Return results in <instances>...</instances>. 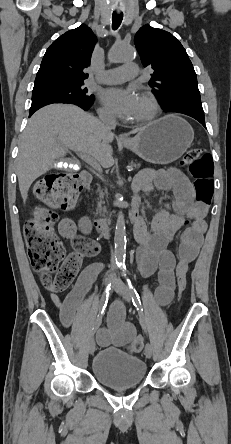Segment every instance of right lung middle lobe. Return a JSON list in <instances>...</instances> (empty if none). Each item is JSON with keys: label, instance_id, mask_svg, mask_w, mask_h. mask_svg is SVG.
Wrapping results in <instances>:
<instances>
[{"label": "right lung middle lobe", "instance_id": "dd1d6c3e", "mask_svg": "<svg viewBox=\"0 0 231 444\" xmlns=\"http://www.w3.org/2000/svg\"><path fill=\"white\" fill-rule=\"evenodd\" d=\"M84 83H53L34 87L32 105L45 102L78 103L89 105L93 103V95L83 87Z\"/></svg>", "mask_w": 231, "mask_h": 444}]
</instances>
